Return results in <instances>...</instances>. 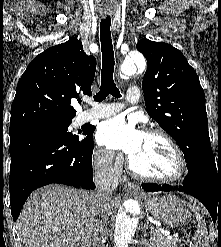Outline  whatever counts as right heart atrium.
Returning a JSON list of instances; mask_svg holds the SVG:
<instances>
[{
	"label": "right heart atrium",
	"mask_w": 221,
	"mask_h": 247,
	"mask_svg": "<svg viewBox=\"0 0 221 247\" xmlns=\"http://www.w3.org/2000/svg\"><path fill=\"white\" fill-rule=\"evenodd\" d=\"M94 161L100 169H112L115 172H119L122 168V159L120 156H116L113 152L104 149L97 148L94 151Z\"/></svg>",
	"instance_id": "d8ad5b80"
}]
</instances>
